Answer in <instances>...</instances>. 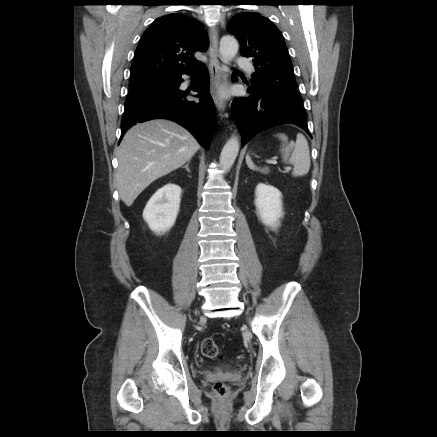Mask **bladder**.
I'll return each mask as SVG.
<instances>
[{"mask_svg": "<svg viewBox=\"0 0 437 437\" xmlns=\"http://www.w3.org/2000/svg\"><path fill=\"white\" fill-rule=\"evenodd\" d=\"M230 367V365H224V368H229Z\"/></svg>", "mask_w": 437, "mask_h": 437, "instance_id": "1", "label": "bladder"}]
</instances>
